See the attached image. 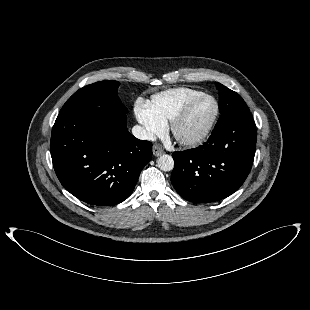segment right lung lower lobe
<instances>
[{
  "label": "right lung lower lobe",
  "instance_id": "right-lung-lower-lobe-1",
  "mask_svg": "<svg viewBox=\"0 0 310 310\" xmlns=\"http://www.w3.org/2000/svg\"><path fill=\"white\" fill-rule=\"evenodd\" d=\"M126 113L83 105L59 113L52 129L53 167L64 188L93 205L129 197L152 157V143L126 128Z\"/></svg>",
  "mask_w": 310,
  "mask_h": 310
}]
</instances>
